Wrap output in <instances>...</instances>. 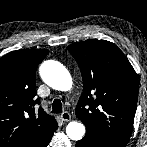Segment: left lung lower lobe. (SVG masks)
I'll return each instance as SVG.
<instances>
[{
    "label": "left lung lower lobe",
    "instance_id": "0a47b994",
    "mask_svg": "<svg viewBox=\"0 0 147 147\" xmlns=\"http://www.w3.org/2000/svg\"><path fill=\"white\" fill-rule=\"evenodd\" d=\"M76 147H103V146H101L100 144H97L95 141L85 136L80 141H77Z\"/></svg>",
    "mask_w": 147,
    "mask_h": 147
}]
</instances>
